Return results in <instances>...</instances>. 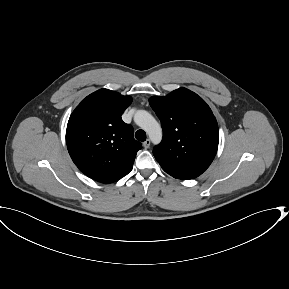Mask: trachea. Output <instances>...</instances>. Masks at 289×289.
Returning <instances> with one entry per match:
<instances>
[{
    "mask_svg": "<svg viewBox=\"0 0 289 289\" xmlns=\"http://www.w3.org/2000/svg\"><path fill=\"white\" fill-rule=\"evenodd\" d=\"M135 137L137 140L139 141H145L146 140V133L145 131L143 130H138L136 133H135Z\"/></svg>",
    "mask_w": 289,
    "mask_h": 289,
    "instance_id": "3493384b",
    "label": "trachea"
}]
</instances>
